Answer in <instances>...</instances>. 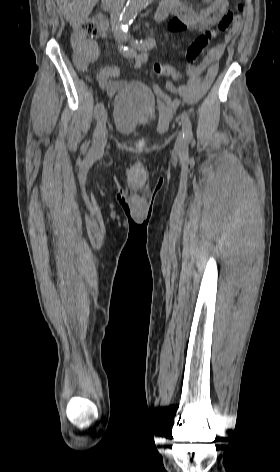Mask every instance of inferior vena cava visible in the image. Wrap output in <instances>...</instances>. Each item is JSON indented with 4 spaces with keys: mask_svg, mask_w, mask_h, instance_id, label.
Wrapping results in <instances>:
<instances>
[{
    "mask_svg": "<svg viewBox=\"0 0 280 472\" xmlns=\"http://www.w3.org/2000/svg\"><path fill=\"white\" fill-rule=\"evenodd\" d=\"M125 0H115L111 12V24L113 29L119 25L118 18L123 9Z\"/></svg>",
    "mask_w": 280,
    "mask_h": 472,
    "instance_id": "1",
    "label": "inferior vena cava"
}]
</instances>
